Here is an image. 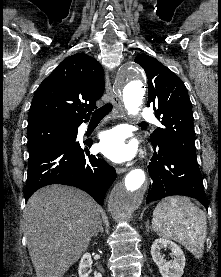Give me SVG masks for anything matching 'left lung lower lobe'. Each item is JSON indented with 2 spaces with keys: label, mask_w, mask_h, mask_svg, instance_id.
I'll return each mask as SVG.
<instances>
[{
  "label": "left lung lower lobe",
  "mask_w": 221,
  "mask_h": 277,
  "mask_svg": "<svg viewBox=\"0 0 221 277\" xmlns=\"http://www.w3.org/2000/svg\"><path fill=\"white\" fill-rule=\"evenodd\" d=\"M155 152L149 163L150 183L146 203L171 195H185L199 200L206 209L202 175L197 160L171 146L152 144Z\"/></svg>",
  "instance_id": "1"
}]
</instances>
